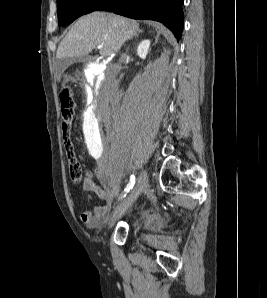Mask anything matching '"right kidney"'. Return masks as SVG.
<instances>
[{
  "mask_svg": "<svg viewBox=\"0 0 267 298\" xmlns=\"http://www.w3.org/2000/svg\"><path fill=\"white\" fill-rule=\"evenodd\" d=\"M150 47V41L149 40H143L138 48H137V54L141 59H145L147 54H148V50Z\"/></svg>",
  "mask_w": 267,
  "mask_h": 298,
  "instance_id": "right-kidney-1",
  "label": "right kidney"
}]
</instances>
